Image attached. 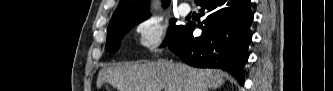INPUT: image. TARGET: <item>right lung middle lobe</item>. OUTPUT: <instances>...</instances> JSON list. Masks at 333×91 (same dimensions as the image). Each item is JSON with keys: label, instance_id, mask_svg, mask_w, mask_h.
Returning a JSON list of instances; mask_svg holds the SVG:
<instances>
[{"label": "right lung middle lobe", "instance_id": "obj_1", "mask_svg": "<svg viewBox=\"0 0 333 91\" xmlns=\"http://www.w3.org/2000/svg\"><path fill=\"white\" fill-rule=\"evenodd\" d=\"M150 15L139 16L134 18H127L120 21L110 22L107 31V43L105 50L109 53L116 52L120 46L121 40L124 35L131 30V28L142 21L146 20ZM176 20L171 19V27L168 31V36L164 41L163 46L168 45L183 29L184 26L174 25Z\"/></svg>", "mask_w": 333, "mask_h": 91}]
</instances>
